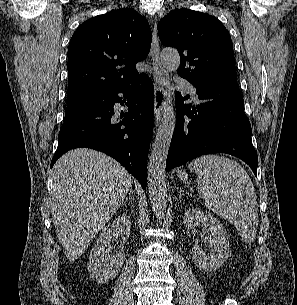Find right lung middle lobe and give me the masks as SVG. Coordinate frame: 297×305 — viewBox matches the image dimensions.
<instances>
[{
	"label": "right lung middle lobe",
	"instance_id": "right-lung-middle-lobe-1",
	"mask_svg": "<svg viewBox=\"0 0 297 305\" xmlns=\"http://www.w3.org/2000/svg\"><path fill=\"white\" fill-rule=\"evenodd\" d=\"M105 97L106 95H99L67 103L65 120L102 103L105 100Z\"/></svg>",
	"mask_w": 297,
	"mask_h": 305
}]
</instances>
